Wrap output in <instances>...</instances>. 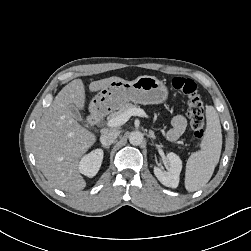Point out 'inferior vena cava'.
<instances>
[{
    "instance_id": "inferior-vena-cava-1",
    "label": "inferior vena cava",
    "mask_w": 251,
    "mask_h": 251,
    "mask_svg": "<svg viewBox=\"0 0 251 251\" xmlns=\"http://www.w3.org/2000/svg\"><path fill=\"white\" fill-rule=\"evenodd\" d=\"M120 132L116 130L106 131L100 137V142L103 146H110L115 142L116 138L119 136Z\"/></svg>"
}]
</instances>
